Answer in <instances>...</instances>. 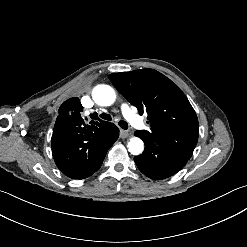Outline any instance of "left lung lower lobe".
<instances>
[{
	"mask_svg": "<svg viewBox=\"0 0 247 247\" xmlns=\"http://www.w3.org/2000/svg\"><path fill=\"white\" fill-rule=\"evenodd\" d=\"M135 135L144 141L145 150L141 155L134 157V161L138 169L151 179L168 178L180 171L189 160L167 148L158 146L137 131Z\"/></svg>",
	"mask_w": 247,
	"mask_h": 247,
	"instance_id": "1",
	"label": "left lung lower lobe"
}]
</instances>
